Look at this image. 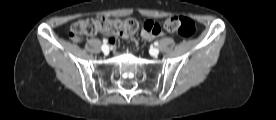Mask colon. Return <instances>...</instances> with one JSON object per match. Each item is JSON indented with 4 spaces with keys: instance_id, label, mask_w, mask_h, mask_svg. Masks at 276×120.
Masks as SVG:
<instances>
[{
    "instance_id": "colon-1",
    "label": "colon",
    "mask_w": 276,
    "mask_h": 120,
    "mask_svg": "<svg viewBox=\"0 0 276 120\" xmlns=\"http://www.w3.org/2000/svg\"><path fill=\"white\" fill-rule=\"evenodd\" d=\"M163 27L166 31L176 32L185 38L191 37L195 32V23L193 20L183 16L168 18L164 22ZM138 28L139 23L134 18H119L112 20L106 16H96L73 23L69 28V38L74 42H79L83 36H92L98 32L110 35L119 34L127 38L134 34ZM143 30L153 36H158L161 33L160 25L153 21L145 22Z\"/></svg>"
}]
</instances>
